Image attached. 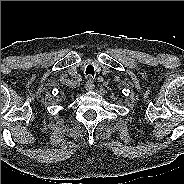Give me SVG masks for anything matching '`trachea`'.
Segmentation results:
<instances>
[{
    "label": "trachea",
    "mask_w": 184,
    "mask_h": 184,
    "mask_svg": "<svg viewBox=\"0 0 184 184\" xmlns=\"http://www.w3.org/2000/svg\"><path fill=\"white\" fill-rule=\"evenodd\" d=\"M86 75H92L94 77V67L92 65L87 66Z\"/></svg>",
    "instance_id": "3493384b"
}]
</instances>
